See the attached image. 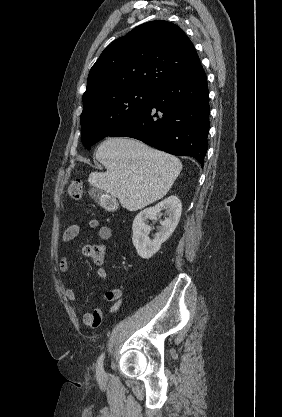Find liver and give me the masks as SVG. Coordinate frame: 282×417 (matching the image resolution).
I'll return each instance as SVG.
<instances>
[{
    "mask_svg": "<svg viewBox=\"0 0 282 417\" xmlns=\"http://www.w3.org/2000/svg\"><path fill=\"white\" fill-rule=\"evenodd\" d=\"M96 158L106 172H90L89 184L117 196L127 211H139L163 198L182 170L177 156L129 136L106 138Z\"/></svg>",
    "mask_w": 282,
    "mask_h": 417,
    "instance_id": "6515ba94",
    "label": "liver"
}]
</instances>
